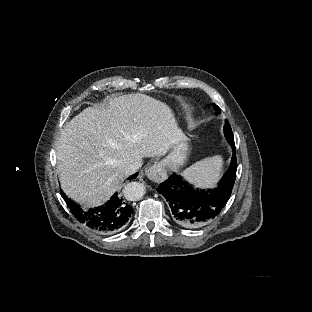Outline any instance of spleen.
<instances>
[{"label":"spleen","mask_w":312,"mask_h":312,"mask_svg":"<svg viewBox=\"0 0 312 312\" xmlns=\"http://www.w3.org/2000/svg\"><path fill=\"white\" fill-rule=\"evenodd\" d=\"M222 159L220 156L200 160L182 172L186 179L193 182L196 187H216L220 177Z\"/></svg>","instance_id":"1"}]
</instances>
